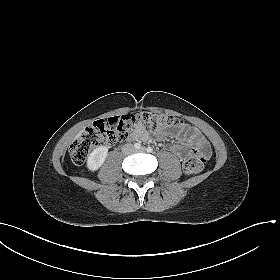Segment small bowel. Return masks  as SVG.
<instances>
[{
	"mask_svg": "<svg viewBox=\"0 0 280 280\" xmlns=\"http://www.w3.org/2000/svg\"><path fill=\"white\" fill-rule=\"evenodd\" d=\"M148 137V131L141 125H137L131 133L133 140H146ZM192 147H196L198 150L210 149L209 144L199 130L187 127L183 142L173 145L171 151L179 156H183Z\"/></svg>",
	"mask_w": 280,
	"mask_h": 280,
	"instance_id": "c3829d8e",
	"label": "small bowel"
}]
</instances>
